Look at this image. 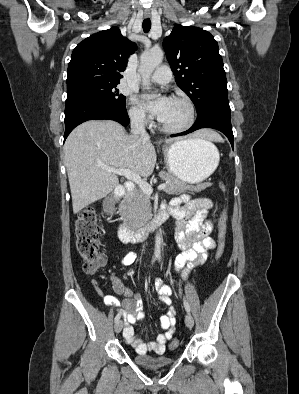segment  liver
Returning a JSON list of instances; mask_svg holds the SVG:
<instances>
[{
	"instance_id": "obj_1",
	"label": "liver",
	"mask_w": 299,
	"mask_h": 394,
	"mask_svg": "<svg viewBox=\"0 0 299 394\" xmlns=\"http://www.w3.org/2000/svg\"><path fill=\"white\" fill-rule=\"evenodd\" d=\"M194 138L220 141L214 131L203 129ZM180 138L166 139L171 144ZM64 162L70 184L74 214L102 199L118 184V178L103 167L130 169L148 177L153 173L157 156L150 140L128 135L112 120H90L76 127L64 144Z\"/></svg>"
}]
</instances>
